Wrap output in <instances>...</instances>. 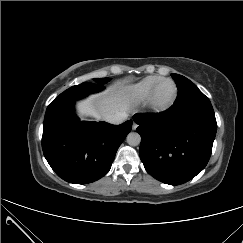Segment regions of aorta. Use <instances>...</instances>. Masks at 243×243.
<instances>
[{
    "instance_id": "762f6f07",
    "label": "aorta",
    "mask_w": 243,
    "mask_h": 243,
    "mask_svg": "<svg viewBox=\"0 0 243 243\" xmlns=\"http://www.w3.org/2000/svg\"><path fill=\"white\" fill-rule=\"evenodd\" d=\"M141 142V136L137 132H130L127 135V143L130 146H137Z\"/></svg>"
}]
</instances>
